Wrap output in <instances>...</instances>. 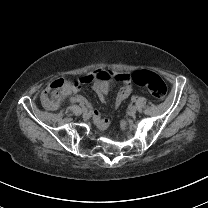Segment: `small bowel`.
Instances as JSON below:
<instances>
[{
	"label": "small bowel",
	"mask_w": 208,
	"mask_h": 208,
	"mask_svg": "<svg viewBox=\"0 0 208 208\" xmlns=\"http://www.w3.org/2000/svg\"><path fill=\"white\" fill-rule=\"evenodd\" d=\"M99 71L108 72L111 75L112 78H114L116 81L121 82V83L124 84L121 87V89L118 91V93L115 97V100H114V106L118 107L129 96V94L131 92L130 86L128 85L127 75L123 74V73L113 74L112 72H110L109 70L104 69V68L98 69L95 73H97ZM95 73H90V74H87V75L83 76L80 79V81L78 82V84L79 83H83V84L93 83L94 91L99 95L101 100L103 102H105V97L109 93L110 86L107 83V80L90 81V79H89L90 76L95 74ZM68 88L76 91L78 89V85L72 84V85H69ZM70 98H71V101L73 103L83 104L85 102L82 97H76L75 95H72ZM60 100L61 99L55 101V100L51 99L50 97H47L46 99H43V104H44V107L47 110L54 111ZM92 115L94 117V121H95L96 125L99 128L105 129V128L108 127L109 122H108L107 119L104 118L103 112L100 108L94 109L93 112H92Z\"/></svg>",
	"instance_id": "obj_1"
}]
</instances>
